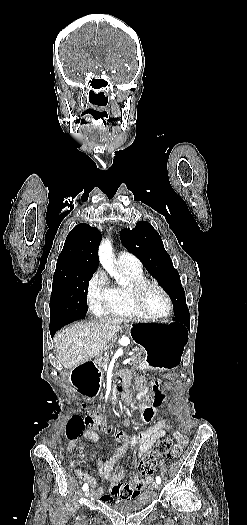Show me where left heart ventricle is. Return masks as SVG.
Listing matches in <instances>:
<instances>
[{
  "label": "left heart ventricle",
  "instance_id": "obj_1",
  "mask_svg": "<svg viewBox=\"0 0 247 525\" xmlns=\"http://www.w3.org/2000/svg\"><path fill=\"white\" fill-rule=\"evenodd\" d=\"M141 298L144 306L154 313L163 311L166 306V298L163 293L152 284H147L141 291Z\"/></svg>",
  "mask_w": 247,
  "mask_h": 525
}]
</instances>
